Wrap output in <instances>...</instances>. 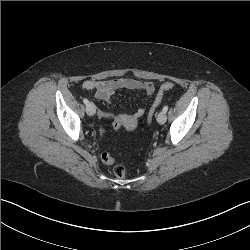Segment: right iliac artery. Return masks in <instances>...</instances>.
Masks as SVG:
<instances>
[{"mask_svg":"<svg viewBox=\"0 0 250 250\" xmlns=\"http://www.w3.org/2000/svg\"><path fill=\"white\" fill-rule=\"evenodd\" d=\"M83 102H84V104H86V105L89 103V101H88L86 98L83 99Z\"/></svg>","mask_w":250,"mask_h":250,"instance_id":"82829eb1","label":"right iliac artery"}]
</instances>
